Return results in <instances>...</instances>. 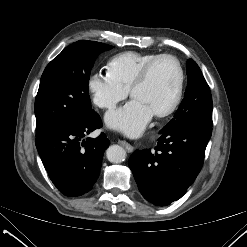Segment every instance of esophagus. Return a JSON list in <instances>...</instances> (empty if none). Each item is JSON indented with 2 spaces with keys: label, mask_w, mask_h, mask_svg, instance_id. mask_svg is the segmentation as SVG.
<instances>
[{
  "label": "esophagus",
  "mask_w": 247,
  "mask_h": 247,
  "mask_svg": "<svg viewBox=\"0 0 247 247\" xmlns=\"http://www.w3.org/2000/svg\"><path fill=\"white\" fill-rule=\"evenodd\" d=\"M119 144L124 147L128 153H131L133 151V147L125 141H119Z\"/></svg>",
  "instance_id": "1"
}]
</instances>
